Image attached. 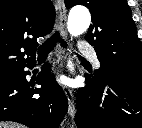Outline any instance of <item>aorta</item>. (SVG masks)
<instances>
[{
    "mask_svg": "<svg viewBox=\"0 0 142 128\" xmlns=\"http://www.w3.org/2000/svg\"><path fill=\"white\" fill-rule=\"evenodd\" d=\"M91 23L90 12L83 7L74 8L70 11L68 18V31L72 36H78L84 33ZM68 68L71 72L74 71L72 62L69 60Z\"/></svg>",
    "mask_w": 142,
    "mask_h": 128,
    "instance_id": "obj_1",
    "label": "aorta"
}]
</instances>
